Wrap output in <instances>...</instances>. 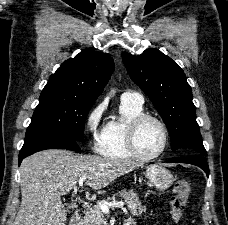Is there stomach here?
I'll return each mask as SVG.
<instances>
[{
	"label": "stomach",
	"mask_w": 228,
	"mask_h": 225,
	"mask_svg": "<svg viewBox=\"0 0 228 225\" xmlns=\"http://www.w3.org/2000/svg\"><path fill=\"white\" fill-rule=\"evenodd\" d=\"M148 183L158 189V191H166L171 185H173L174 177L171 175L168 169L162 167V165H148L145 173Z\"/></svg>",
	"instance_id": "0dacf381"
}]
</instances>
